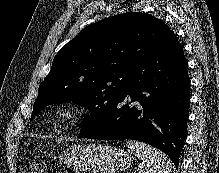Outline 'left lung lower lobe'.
I'll return each instance as SVG.
<instances>
[{"instance_id":"0a47b994","label":"left lung lower lobe","mask_w":219,"mask_h":173,"mask_svg":"<svg viewBox=\"0 0 219 173\" xmlns=\"http://www.w3.org/2000/svg\"><path fill=\"white\" fill-rule=\"evenodd\" d=\"M190 78L183 47L171 32L134 67L132 86L97 131L79 138L146 142L177 166L189 117Z\"/></svg>"}]
</instances>
